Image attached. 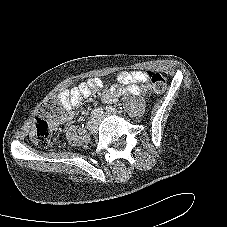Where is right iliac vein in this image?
Returning a JSON list of instances; mask_svg holds the SVG:
<instances>
[{"label": "right iliac vein", "instance_id": "1", "mask_svg": "<svg viewBox=\"0 0 227 227\" xmlns=\"http://www.w3.org/2000/svg\"><path fill=\"white\" fill-rule=\"evenodd\" d=\"M87 129L91 134H95L98 130V123L96 120H90L87 124Z\"/></svg>", "mask_w": 227, "mask_h": 227}]
</instances>
